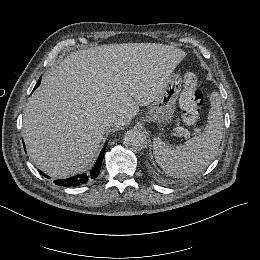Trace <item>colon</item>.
Wrapping results in <instances>:
<instances>
[{
  "mask_svg": "<svg viewBox=\"0 0 260 260\" xmlns=\"http://www.w3.org/2000/svg\"><path fill=\"white\" fill-rule=\"evenodd\" d=\"M203 103L202 84L195 75H187L179 95L184 125L193 129L199 123L201 105Z\"/></svg>",
  "mask_w": 260,
  "mask_h": 260,
  "instance_id": "obj_1",
  "label": "colon"
}]
</instances>
